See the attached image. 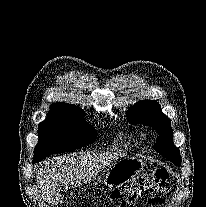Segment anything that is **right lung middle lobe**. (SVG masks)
<instances>
[{
	"mask_svg": "<svg viewBox=\"0 0 206 207\" xmlns=\"http://www.w3.org/2000/svg\"><path fill=\"white\" fill-rule=\"evenodd\" d=\"M84 115V112L51 108L47 118L39 124L34 158L72 152L93 143L97 132Z\"/></svg>",
	"mask_w": 206,
	"mask_h": 207,
	"instance_id": "1",
	"label": "right lung middle lobe"
}]
</instances>
